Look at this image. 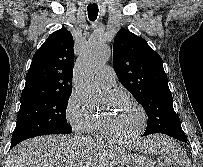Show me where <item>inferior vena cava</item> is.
Segmentation results:
<instances>
[{
    "instance_id": "602c4592",
    "label": "inferior vena cava",
    "mask_w": 203,
    "mask_h": 167,
    "mask_svg": "<svg viewBox=\"0 0 203 167\" xmlns=\"http://www.w3.org/2000/svg\"><path fill=\"white\" fill-rule=\"evenodd\" d=\"M75 137H76V139H78V140H80V141H82V142H88L87 138H85V137L82 136V135H78V136H75Z\"/></svg>"
}]
</instances>
